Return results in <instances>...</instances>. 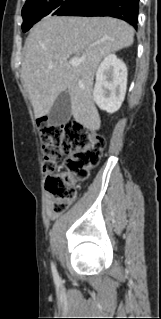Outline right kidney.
I'll use <instances>...</instances> for the list:
<instances>
[{"mask_svg": "<svg viewBox=\"0 0 161 319\" xmlns=\"http://www.w3.org/2000/svg\"><path fill=\"white\" fill-rule=\"evenodd\" d=\"M127 67L115 54L107 55L96 72L93 99L101 110L116 112L125 98Z\"/></svg>", "mask_w": 161, "mask_h": 319, "instance_id": "obj_1", "label": "right kidney"}]
</instances>
